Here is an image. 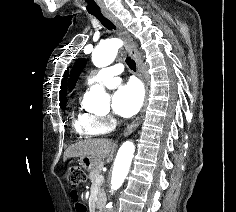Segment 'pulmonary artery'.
<instances>
[{"instance_id": "e3ab8cb5", "label": "pulmonary artery", "mask_w": 236, "mask_h": 212, "mask_svg": "<svg viewBox=\"0 0 236 212\" xmlns=\"http://www.w3.org/2000/svg\"><path fill=\"white\" fill-rule=\"evenodd\" d=\"M123 68L121 65H113L100 69L95 75L87 80V84L100 83L108 88H113L120 82V74Z\"/></svg>"}]
</instances>
